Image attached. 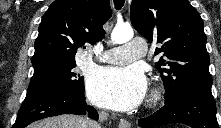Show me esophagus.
<instances>
[{"mask_svg":"<svg viewBox=\"0 0 221 128\" xmlns=\"http://www.w3.org/2000/svg\"><path fill=\"white\" fill-rule=\"evenodd\" d=\"M119 127L120 128H130L131 124L128 121H126V120H121L119 122Z\"/></svg>","mask_w":221,"mask_h":128,"instance_id":"1","label":"esophagus"}]
</instances>
